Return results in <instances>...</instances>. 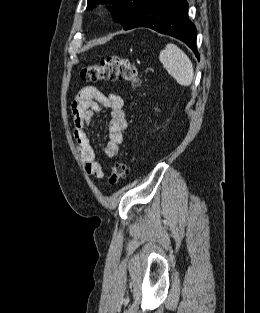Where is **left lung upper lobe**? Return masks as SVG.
Instances as JSON below:
<instances>
[{"mask_svg":"<svg viewBox=\"0 0 260 313\" xmlns=\"http://www.w3.org/2000/svg\"><path fill=\"white\" fill-rule=\"evenodd\" d=\"M152 0H88L87 9L93 4L103 2H114L117 8H112L113 17L120 22L125 30L135 17L151 2Z\"/></svg>","mask_w":260,"mask_h":313,"instance_id":"1","label":"left lung upper lobe"}]
</instances>
